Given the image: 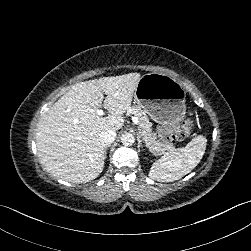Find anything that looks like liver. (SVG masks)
Returning a JSON list of instances; mask_svg holds the SVG:
<instances>
[{"instance_id": "liver-1", "label": "liver", "mask_w": 251, "mask_h": 251, "mask_svg": "<svg viewBox=\"0 0 251 251\" xmlns=\"http://www.w3.org/2000/svg\"><path fill=\"white\" fill-rule=\"evenodd\" d=\"M140 77L128 73L77 83L42 115L36 146L50 174L79 184L99 176L105 159L99 135L122 128ZM101 107L108 111L107 117L97 114Z\"/></svg>"}]
</instances>
